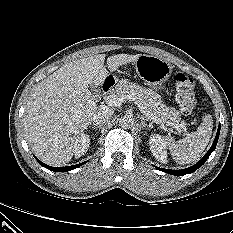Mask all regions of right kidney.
I'll list each match as a JSON object with an SVG mask.
<instances>
[{"label": "right kidney", "instance_id": "1", "mask_svg": "<svg viewBox=\"0 0 233 233\" xmlns=\"http://www.w3.org/2000/svg\"><path fill=\"white\" fill-rule=\"evenodd\" d=\"M90 145V137L87 134H81L72 147L73 154L76 158H79L87 152Z\"/></svg>", "mask_w": 233, "mask_h": 233}]
</instances>
